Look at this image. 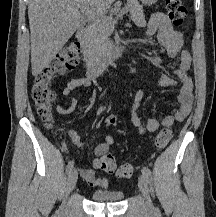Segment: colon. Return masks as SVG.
I'll return each mask as SVG.
<instances>
[{
  "label": "colon",
  "instance_id": "colon-1",
  "mask_svg": "<svg viewBox=\"0 0 216 217\" xmlns=\"http://www.w3.org/2000/svg\"><path fill=\"white\" fill-rule=\"evenodd\" d=\"M167 13L170 21L180 26L186 18L187 10L182 0H165ZM81 45L78 41L69 42L59 54V57L44 69L35 78L31 89V97L36 105L37 112L47 127L54 126V114L52 103L55 97L51 89V79L55 73H65L76 68L80 62ZM117 118L110 115L106 119V126L112 127L116 124ZM172 138V130L169 127L159 131L155 138V146L161 150L167 146ZM101 169L107 173H115L120 178H129L134 173L131 164H123L117 167L112 154L105 155L101 162Z\"/></svg>",
  "mask_w": 216,
  "mask_h": 217
}]
</instances>
